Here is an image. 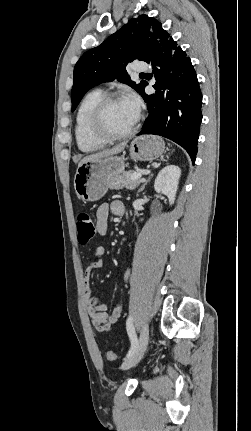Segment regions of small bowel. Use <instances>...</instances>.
<instances>
[{
  "label": "small bowel",
  "instance_id": "1",
  "mask_svg": "<svg viewBox=\"0 0 251 431\" xmlns=\"http://www.w3.org/2000/svg\"><path fill=\"white\" fill-rule=\"evenodd\" d=\"M125 213V206L121 201H113L109 204H102L96 212L97 231L99 235L105 236L108 232L109 215L120 217ZM105 249L102 246L97 247L93 252L94 259L89 263L84 271V305L92 326L101 333L109 332L118 322L123 312L122 303H118L111 313L107 312V305L91 293L89 280L93 271L99 269L103 265V256ZM130 277V269L125 273V279Z\"/></svg>",
  "mask_w": 251,
  "mask_h": 431
}]
</instances>
